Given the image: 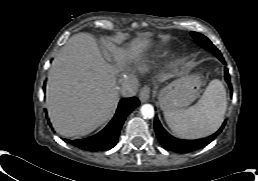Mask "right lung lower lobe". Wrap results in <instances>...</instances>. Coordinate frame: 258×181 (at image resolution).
Returning a JSON list of instances; mask_svg holds the SVG:
<instances>
[{
  "label": "right lung lower lobe",
  "instance_id": "1",
  "mask_svg": "<svg viewBox=\"0 0 258 181\" xmlns=\"http://www.w3.org/2000/svg\"><path fill=\"white\" fill-rule=\"evenodd\" d=\"M45 86V85H44ZM136 97L124 98L120 101L115 116L110 123L98 134L78 140H66L71 145L87 151H103L113 148L118 142L121 127L127 117L137 106Z\"/></svg>",
  "mask_w": 258,
  "mask_h": 181
}]
</instances>
